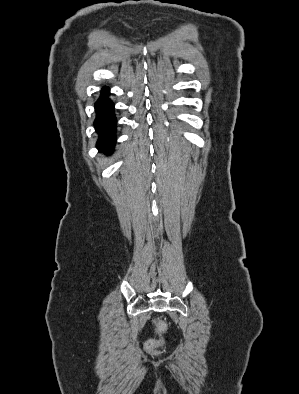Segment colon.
Here are the masks:
<instances>
[{"label":"colon","instance_id":"colon-1","mask_svg":"<svg viewBox=\"0 0 299 394\" xmlns=\"http://www.w3.org/2000/svg\"><path fill=\"white\" fill-rule=\"evenodd\" d=\"M155 324L157 327V331L159 334L158 338H153V339H149L148 341H146L144 347L145 350L150 353V354H156L158 352V349L164 344L165 339H164V335L167 333L168 331V327L166 325V323L157 318L155 319Z\"/></svg>","mask_w":299,"mask_h":394}]
</instances>
